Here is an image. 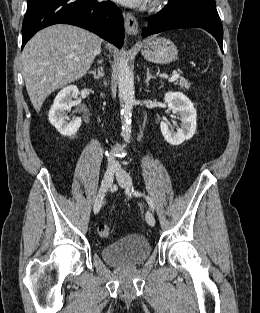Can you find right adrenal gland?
Instances as JSON below:
<instances>
[{"instance_id":"2a0ac1e0","label":"right adrenal gland","mask_w":260,"mask_h":313,"mask_svg":"<svg viewBox=\"0 0 260 313\" xmlns=\"http://www.w3.org/2000/svg\"><path fill=\"white\" fill-rule=\"evenodd\" d=\"M89 73L92 74L95 79H100L101 77L104 76L102 66L98 68L97 72H96V70H94V71H90Z\"/></svg>"}]
</instances>
